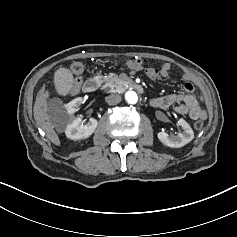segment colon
I'll use <instances>...</instances> for the list:
<instances>
[{
    "mask_svg": "<svg viewBox=\"0 0 237 237\" xmlns=\"http://www.w3.org/2000/svg\"><path fill=\"white\" fill-rule=\"evenodd\" d=\"M134 64L136 67L141 68L146 76L151 80H158L160 79L159 69L154 67H146L144 61L142 60H135ZM71 71L73 74L80 76L85 71V65L82 62H74L71 65ZM195 128L197 130H202L204 128V122L202 120H198L195 123Z\"/></svg>",
    "mask_w": 237,
    "mask_h": 237,
    "instance_id": "5ec220e1",
    "label": "colon"
}]
</instances>
